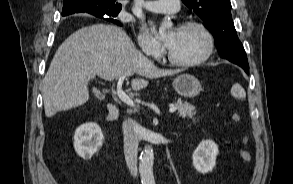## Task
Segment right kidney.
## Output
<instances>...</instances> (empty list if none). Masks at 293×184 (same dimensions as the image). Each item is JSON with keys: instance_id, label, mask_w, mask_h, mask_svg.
Wrapping results in <instances>:
<instances>
[{"instance_id": "right-kidney-1", "label": "right kidney", "mask_w": 293, "mask_h": 184, "mask_svg": "<svg viewBox=\"0 0 293 184\" xmlns=\"http://www.w3.org/2000/svg\"><path fill=\"white\" fill-rule=\"evenodd\" d=\"M104 136L97 123H86L78 127L74 134V148L84 160L91 157L102 147Z\"/></svg>"}]
</instances>
